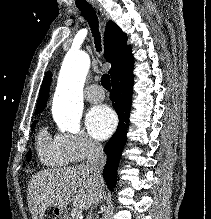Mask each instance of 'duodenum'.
Instances as JSON below:
<instances>
[{"label":"duodenum","mask_w":211,"mask_h":219,"mask_svg":"<svg viewBox=\"0 0 211 219\" xmlns=\"http://www.w3.org/2000/svg\"><path fill=\"white\" fill-rule=\"evenodd\" d=\"M58 214L62 219L66 218V212L64 210H58Z\"/></svg>","instance_id":"duodenum-1"}]
</instances>
